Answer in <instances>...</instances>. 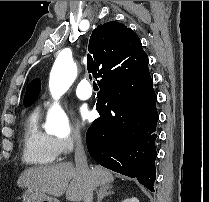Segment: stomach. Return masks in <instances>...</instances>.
Here are the masks:
<instances>
[{"label":"stomach","mask_w":209,"mask_h":202,"mask_svg":"<svg viewBox=\"0 0 209 202\" xmlns=\"http://www.w3.org/2000/svg\"><path fill=\"white\" fill-rule=\"evenodd\" d=\"M22 198L23 202H59L56 198L50 197L41 191L28 188L24 191Z\"/></svg>","instance_id":"stomach-1"}]
</instances>
